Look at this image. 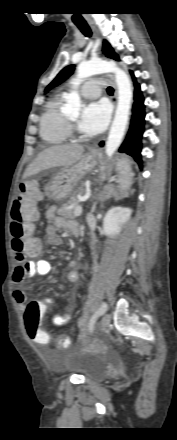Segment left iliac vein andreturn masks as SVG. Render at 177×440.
Segmentation results:
<instances>
[{
	"label": "left iliac vein",
	"instance_id": "4c4485c4",
	"mask_svg": "<svg viewBox=\"0 0 177 440\" xmlns=\"http://www.w3.org/2000/svg\"><path fill=\"white\" fill-rule=\"evenodd\" d=\"M110 321H111L110 315L108 313H104V315L102 316V319L100 321V324H99V330L101 332L106 331L109 324H110Z\"/></svg>",
	"mask_w": 177,
	"mask_h": 440
}]
</instances>
